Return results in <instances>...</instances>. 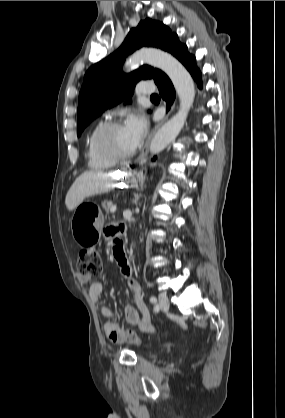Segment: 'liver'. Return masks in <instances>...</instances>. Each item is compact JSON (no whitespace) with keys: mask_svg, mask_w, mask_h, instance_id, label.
Wrapping results in <instances>:
<instances>
[{"mask_svg":"<svg viewBox=\"0 0 285 418\" xmlns=\"http://www.w3.org/2000/svg\"><path fill=\"white\" fill-rule=\"evenodd\" d=\"M115 174L91 170L82 173L70 187L65 204L69 211L74 210L87 197L100 194L114 187Z\"/></svg>","mask_w":285,"mask_h":418,"instance_id":"1","label":"liver"}]
</instances>
